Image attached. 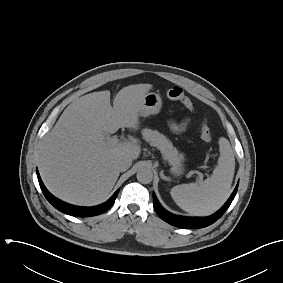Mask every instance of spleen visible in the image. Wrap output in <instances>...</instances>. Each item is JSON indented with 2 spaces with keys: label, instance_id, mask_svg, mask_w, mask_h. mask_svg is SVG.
<instances>
[{
  "label": "spleen",
  "instance_id": "spleen-1",
  "mask_svg": "<svg viewBox=\"0 0 283 283\" xmlns=\"http://www.w3.org/2000/svg\"><path fill=\"white\" fill-rule=\"evenodd\" d=\"M220 157L211 177L200 184L174 186L171 197L184 211L193 215H210L217 211L230 195L235 170V158L229 141L219 139Z\"/></svg>",
  "mask_w": 283,
  "mask_h": 283
}]
</instances>
